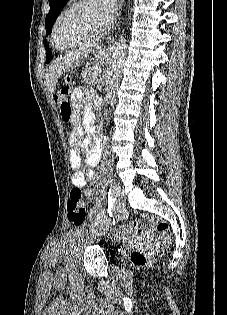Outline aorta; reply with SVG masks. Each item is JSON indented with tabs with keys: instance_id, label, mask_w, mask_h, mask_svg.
Listing matches in <instances>:
<instances>
[{
	"instance_id": "aorta-1",
	"label": "aorta",
	"mask_w": 227,
	"mask_h": 315,
	"mask_svg": "<svg viewBox=\"0 0 227 315\" xmlns=\"http://www.w3.org/2000/svg\"><path fill=\"white\" fill-rule=\"evenodd\" d=\"M126 58V34L120 35L111 54L106 78V98L111 99L121 79Z\"/></svg>"
}]
</instances>
